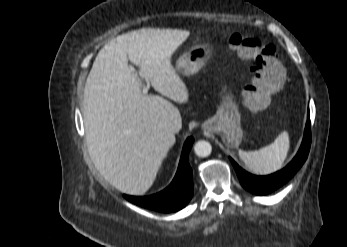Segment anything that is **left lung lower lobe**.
I'll use <instances>...</instances> for the list:
<instances>
[{"mask_svg": "<svg viewBox=\"0 0 347 247\" xmlns=\"http://www.w3.org/2000/svg\"><path fill=\"white\" fill-rule=\"evenodd\" d=\"M310 144L311 131L310 118L308 114V120L301 147L293 160L284 169L268 176H254L241 169L232 158H230V160L235 168L241 185L245 189L257 195H266L284 185L295 175V173L300 169L307 159Z\"/></svg>", "mask_w": 347, "mask_h": 247, "instance_id": "left-lung-lower-lobe-1", "label": "left lung lower lobe"}]
</instances>
